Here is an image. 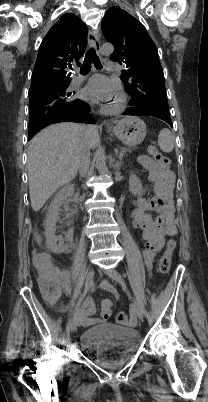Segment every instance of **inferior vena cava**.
I'll return each mask as SVG.
<instances>
[{
	"label": "inferior vena cava",
	"instance_id": "602c4592",
	"mask_svg": "<svg viewBox=\"0 0 208 402\" xmlns=\"http://www.w3.org/2000/svg\"><path fill=\"white\" fill-rule=\"evenodd\" d=\"M82 134H85L86 128H82ZM77 162H78V170L81 178H86L89 172L90 166V146L85 140V138H81L80 144L78 146L77 154H76Z\"/></svg>",
	"mask_w": 208,
	"mask_h": 402
}]
</instances>
